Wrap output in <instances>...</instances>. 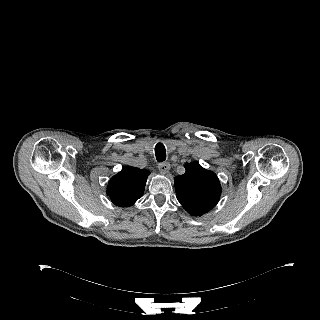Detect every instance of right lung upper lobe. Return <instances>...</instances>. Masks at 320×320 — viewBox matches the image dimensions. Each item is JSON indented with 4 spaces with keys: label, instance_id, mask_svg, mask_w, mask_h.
<instances>
[{
    "label": "right lung upper lobe",
    "instance_id": "obj_1",
    "mask_svg": "<svg viewBox=\"0 0 320 320\" xmlns=\"http://www.w3.org/2000/svg\"><path fill=\"white\" fill-rule=\"evenodd\" d=\"M149 174L146 169L126 167L110 179L107 195L117 206H132L142 197Z\"/></svg>",
    "mask_w": 320,
    "mask_h": 320
}]
</instances>
